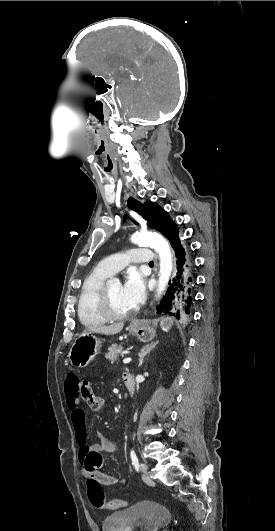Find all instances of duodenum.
Masks as SVG:
<instances>
[{"label": "duodenum", "mask_w": 275, "mask_h": 531, "mask_svg": "<svg viewBox=\"0 0 275 531\" xmlns=\"http://www.w3.org/2000/svg\"><path fill=\"white\" fill-rule=\"evenodd\" d=\"M124 386L127 390L128 397L131 399L135 394V381L130 372H125L122 375Z\"/></svg>", "instance_id": "410a0bca"}]
</instances>
